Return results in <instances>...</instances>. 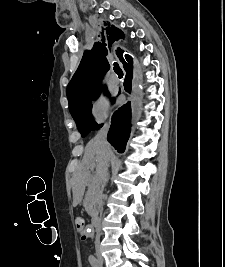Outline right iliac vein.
Wrapping results in <instances>:
<instances>
[{
	"mask_svg": "<svg viewBox=\"0 0 225 267\" xmlns=\"http://www.w3.org/2000/svg\"><path fill=\"white\" fill-rule=\"evenodd\" d=\"M97 258H98L99 264L102 266L104 264V258L101 256L99 252L97 253Z\"/></svg>",
	"mask_w": 225,
	"mask_h": 267,
	"instance_id": "right-iliac-vein-1",
	"label": "right iliac vein"
}]
</instances>
